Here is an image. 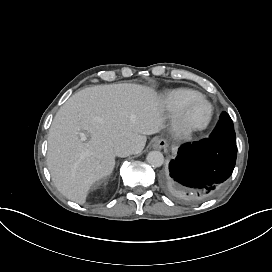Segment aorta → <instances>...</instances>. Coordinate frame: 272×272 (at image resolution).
Listing matches in <instances>:
<instances>
[{
    "label": "aorta",
    "mask_w": 272,
    "mask_h": 272,
    "mask_svg": "<svg viewBox=\"0 0 272 272\" xmlns=\"http://www.w3.org/2000/svg\"><path fill=\"white\" fill-rule=\"evenodd\" d=\"M147 162L152 167H156V168L161 167L164 163V156L159 151L149 152V154L147 156Z\"/></svg>",
    "instance_id": "1"
}]
</instances>
